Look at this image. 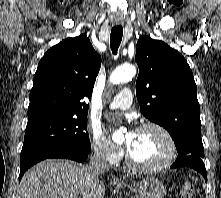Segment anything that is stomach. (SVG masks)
<instances>
[{
	"instance_id": "0dacf381",
	"label": "stomach",
	"mask_w": 221,
	"mask_h": 198,
	"mask_svg": "<svg viewBox=\"0 0 221 198\" xmlns=\"http://www.w3.org/2000/svg\"><path fill=\"white\" fill-rule=\"evenodd\" d=\"M124 187L134 193L135 198H163L166 193L163 183L155 178H146L139 183L124 185Z\"/></svg>"
}]
</instances>
